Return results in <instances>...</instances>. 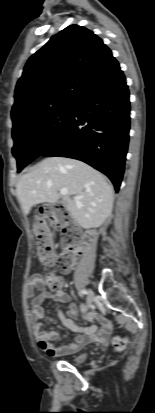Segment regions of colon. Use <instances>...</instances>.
I'll return each mask as SVG.
<instances>
[{"mask_svg":"<svg viewBox=\"0 0 155 413\" xmlns=\"http://www.w3.org/2000/svg\"><path fill=\"white\" fill-rule=\"evenodd\" d=\"M38 215L34 220V232L37 237V253L43 265L46 267H56L59 271H66L73 263L74 254L72 247L78 238L74 227L70 224L68 212L61 204H53L44 207L37 206ZM55 227L61 231V241L66 251L60 255L56 253V245L50 235V228ZM46 285L51 290H59L62 285L61 277L54 271L48 270L44 275ZM126 345L125 338L116 337L113 340V347L116 351H121Z\"/></svg>","mask_w":155,"mask_h":413,"instance_id":"colon-1","label":"colon"}]
</instances>
